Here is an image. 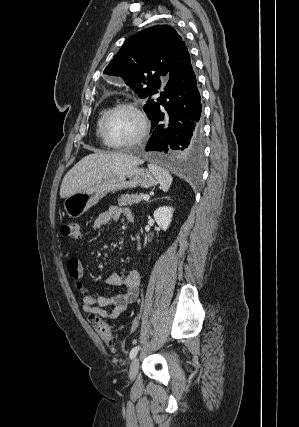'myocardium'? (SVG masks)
Wrapping results in <instances>:
<instances>
[{"instance_id":"obj_1","label":"myocardium","mask_w":299,"mask_h":427,"mask_svg":"<svg viewBox=\"0 0 299 427\" xmlns=\"http://www.w3.org/2000/svg\"><path fill=\"white\" fill-rule=\"evenodd\" d=\"M126 109L131 112H133L139 119L140 122V130L138 134L130 141L125 143H113L109 140L106 132L107 124L110 119V117L118 110ZM149 129L148 119L146 117V114L144 111L135 103L133 102H121L113 107L109 108V110L104 115L101 125H100V137L102 142L110 148L114 149H126L129 147H132L139 142H141L147 135Z\"/></svg>"}]
</instances>
